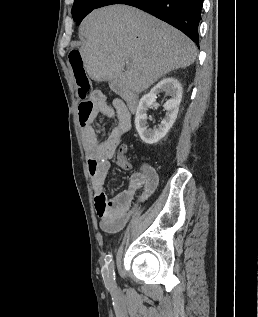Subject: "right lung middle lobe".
Masks as SVG:
<instances>
[{"label": "right lung middle lobe", "mask_w": 258, "mask_h": 317, "mask_svg": "<svg viewBox=\"0 0 258 317\" xmlns=\"http://www.w3.org/2000/svg\"><path fill=\"white\" fill-rule=\"evenodd\" d=\"M86 1L87 0H74V4L72 7V16H73L74 21L76 20L78 13L82 9V7L86 3Z\"/></svg>", "instance_id": "dd1d6c3e"}]
</instances>
